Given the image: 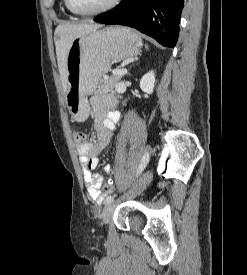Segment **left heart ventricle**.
I'll list each match as a JSON object with an SVG mask.
<instances>
[{
    "label": "left heart ventricle",
    "mask_w": 247,
    "mask_h": 275,
    "mask_svg": "<svg viewBox=\"0 0 247 275\" xmlns=\"http://www.w3.org/2000/svg\"><path fill=\"white\" fill-rule=\"evenodd\" d=\"M71 6L78 11H92L98 9L110 0H69Z\"/></svg>",
    "instance_id": "obj_1"
}]
</instances>
